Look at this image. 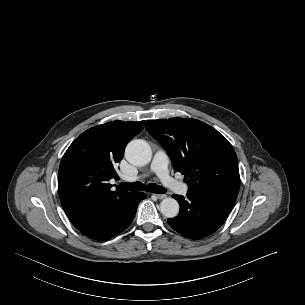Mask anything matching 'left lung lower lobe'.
<instances>
[{"mask_svg": "<svg viewBox=\"0 0 305 305\" xmlns=\"http://www.w3.org/2000/svg\"><path fill=\"white\" fill-rule=\"evenodd\" d=\"M179 204V214L168 224L181 235L200 239L215 232L227 219L237 198L235 192H187V197L172 195Z\"/></svg>", "mask_w": 305, "mask_h": 305, "instance_id": "1", "label": "left lung lower lobe"}]
</instances>
